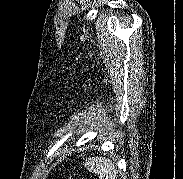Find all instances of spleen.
Segmentation results:
<instances>
[{
	"mask_svg": "<svg viewBox=\"0 0 183 179\" xmlns=\"http://www.w3.org/2000/svg\"><path fill=\"white\" fill-rule=\"evenodd\" d=\"M85 167L90 172L99 175V179H116L117 170L111 160L104 157H91L85 162Z\"/></svg>",
	"mask_w": 183,
	"mask_h": 179,
	"instance_id": "1",
	"label": "spleen"
}]
</instances>
